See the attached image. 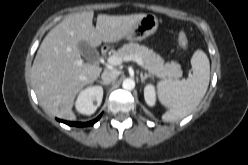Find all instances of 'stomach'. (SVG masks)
<instances>
[{"label": "stomach", "instance_id": "obj_1", "mask_svg": "<svg viewBox=\"0 0 248 165\" xmlns=\"http://www.w3.org/2000/svg\"><path fill=\"white\" fill-rule=\"evenodd\" d=\"M158 29V19L154 14H146L126 36L130 41H141Z\"/></svg>", "mask_w": 248, "mask_h": 165}]
</instances>
